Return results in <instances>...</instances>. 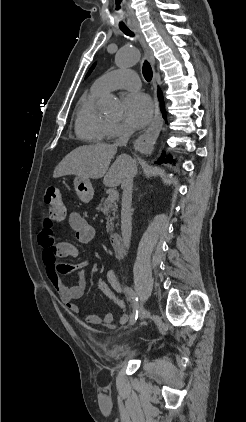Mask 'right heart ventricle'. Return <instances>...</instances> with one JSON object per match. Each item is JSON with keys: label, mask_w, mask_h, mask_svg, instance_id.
Returning <instances> with one entry per match:
<instances>
[{"label": "right heart ventricle", "mask_w": 246, "mask_h": 422, "mask_svg": "<svg viewBox=\"0 0 246 422\" xmlns=\"http://www.w3.org/2000/svg\"><path fill=\"white\" fill-rule=\"evenodd\" d=\"M103 92L92 87L80 99L75 118V132L89 142H102L107 138L108 121L96 109Z\"/></svg>", "instance_id": "right-heart-ventricle-1"}]
</instances>
